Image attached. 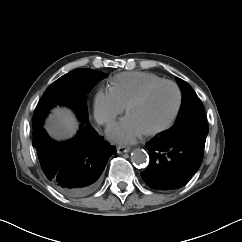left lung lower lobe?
I'll return each mask as SVG.
<instances>
[{
  "label": "left lung lower lobe",
  "instance_id": "1",
  "mask_svg": "<svg viewBox=\"0 0 242 242\" xmlns=\"http://www.w3.org/2000/svg\"><path fill=\"white\" fill-rule=\"evenodd\" d=\"M206 137L173 138L160 133L148 144L150 163L141 173L152 189L171 190L186 185L203 160Z\"/></svg>",
  "mask_w": 242,
  "mask_h": 242
}]
</instances>
